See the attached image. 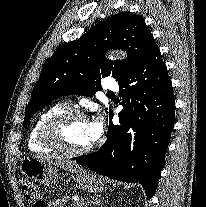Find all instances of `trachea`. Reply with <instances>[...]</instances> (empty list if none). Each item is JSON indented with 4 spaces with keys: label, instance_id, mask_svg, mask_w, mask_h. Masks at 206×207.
<instances>
[{
    "label": "trachea",
    "instance_id": "3493384b",
    "mask_svg": "<svg viewBox=\"0 0 206 207\" xmlns=\"http://www.w3.org/2000/svg\"><path fill=\"white\" fill-rule=\"evenodd\" d=\"M107 94H108V95H111V94H113V93H112V92H108Z\"/></svg>",
    "mask_w": 206,
    "mask_h": 207
}]
</instances>
